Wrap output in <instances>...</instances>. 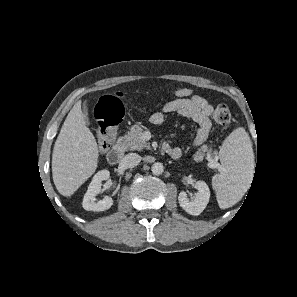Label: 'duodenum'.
Returning a JSON list of instances; mask_svg holds the SVG:
<instances>
[{"label":"duodenum","instance_id":"1","mask_svg":"<svg viewBox=\"0 0 297 297\" xmlns=\"http://www.w3.org/2000/svg\"><path fill=\"white\" fill-rule=\"evenodd\" d=\"M162 150L165 153H169V150L166 146L162 147ZM124 155V145L122 142H118L114 147L108 152L107 159L111 164H117L121 161Z\"/></svg>","mask_w":297,"mask_h":297}]
</instances>
